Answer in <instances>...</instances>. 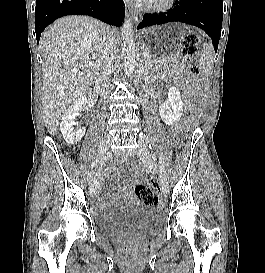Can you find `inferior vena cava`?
<instances>
[{"label":"inferior vena cava","mask_w":265,"mask_h":273,"mask_svg":"<svg viewBox=\"0 0 265 273\" xmlns=\"http://www.w3.org/2000/svg\"><path fill=\"white\" fill-rule=\"evenodd\" d=\"M118 57V49L116 46L115 37L107 30L103 36L101 45V62L100 73L98 77L104 80V85L101 90L102 96L105 98L110 90L108 78L116 68V59Z\"/></svg>","instance_id":"602c4592"}]
</instances>
